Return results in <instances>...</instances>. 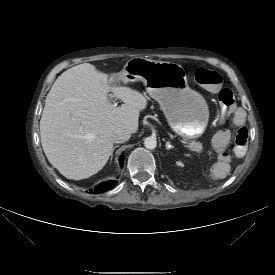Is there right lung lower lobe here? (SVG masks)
<instances>
[{
    "label": "right lung lower lobe",
    "instance_id": "right-lung-lower-lobe-1",
    "mask_svg": "<svg viewBox=\"0 0 275 275\" xmlns=\"http://www.w3.org/2000/svg\"><path fill=\"white\" fill-rule=\"evenodd\" d=\"M123 160H124V156L121 155L119 158L120 164L123 165ZM117 181L116 180H111L109 182H105L102 183L100 185H98L94 190H90L91 194H98V193H102L105 192L111 188H113L116 185Z\"/></svg>",
    "mask_w": 275,
    "mask_h": 275
}]
</instances>
